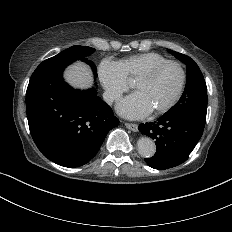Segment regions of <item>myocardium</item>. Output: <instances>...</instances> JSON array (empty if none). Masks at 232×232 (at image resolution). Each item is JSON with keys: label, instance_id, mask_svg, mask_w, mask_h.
Wrapping results in <instances>:
<instances>
[{"label": "myocardium", "instance_id": "obj_1", "mask_svg": "<svg viewBox=\"0 0 232 232\" xmlns=\"http://www.w3.org/2000/svg\"><path fill=\"white\" fill-rule=\"evenodd\" d=\"M175 65L178 67V69L181 72V84L179 86V89L177 90V92L175 93L174 97L172 98V100L166 104L164 107L155 110V114L157 115H161L164 114L168 111H170L179 101V99L181 98L184 90H185V86H186V82H187V72L185 70V67L176 60H165L161 63L156 64L155 66H153L152 68H150L148 71H146L145 73L141 74L140 76H138L134 83H133V88L135 83L137 82H142V81H148L150 79H152L163 67L167 66V65Z\"/></svg>", "mask_w": 232, "mask_h": 232}]
</instances>
